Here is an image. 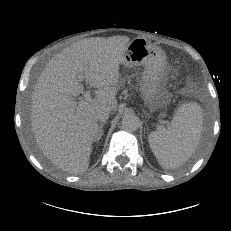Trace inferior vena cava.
Instances as JSON below:
<instances>
[{"label": "inferior vena cava", "mask_w": 231, "mask_h": 231, "mask_svg": "<svg viewBox=\"0 0 231 231\" xmlns=\"http://www.w3.org/2000/svg\"><path fill=\"white\" fill-rule=\"evenodd\" d=\"M110 112H111L110 107L108 106L101 107L96 113L97 120L101 122H105L108 119Z\"/></svg>", "instance_id": "602c4592"}]
</instances>
